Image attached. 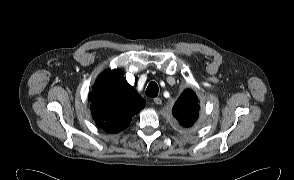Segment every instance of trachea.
Returning a JSON list of instances; mask_svg holds the SVG:
<instances>
[{
	"instance_id": "3493384b",
	"label": "trachea",
	"mask_w": 294,
	"mask_h": 180,
	"mask_svg": "<svg viewBox=\"0 0 294 180\" xmlns=\"http://www.w3.org/2000/svg\"><path fill=\"white\" fill-rule=\"evenodd\" d=\"M146 95L149 97H156L158 95V85L155 82H150L147 89Z\"/></svg>"
}]
</instances>
